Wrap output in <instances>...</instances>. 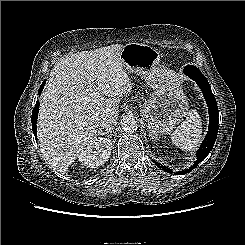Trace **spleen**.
I'll return each instance as SVG.
<instances>
[{"instance_id": "1", "label": "spleen", "mask_w": 245, "mask_h": 245, "mask_svg": "<svg viewBox=\"0 0 245 245\" xmlns=\"http://www.w3.org/2000/svg\"><path fill=\"white\" fill-rule=\"evenodd\" d=\"M202 138L201 117L196 110L187 114L184 122L171 134L173 144L182 151L195 150Z\"/></svg>"}]
</instances>
